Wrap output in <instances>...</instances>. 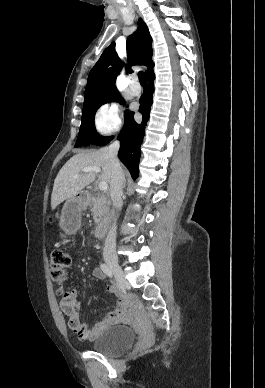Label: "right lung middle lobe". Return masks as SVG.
Segmentation results:
<instances>
[{"label":"right lung middle lobe","instance_id":"obj_1","mask_svg":"<svg viewBox=\"0 0 265 388\" xmlns=\"http://www.w3.org/2000/svg\"><path fill=\"white\" fill-rule=\"evenodd\" d=\"M112 101L123 102L122 97L117 89L95 94L84 100L82 122L75 147L82 145L86 146L88 144L103 146L108 144L113 139V136H100L96 132L94 125V117L97 109L101 105ZM127 113L128 111L125 112V117Z\"/></svg>","mask_w":265,"mask_h":388}]
</instances>
